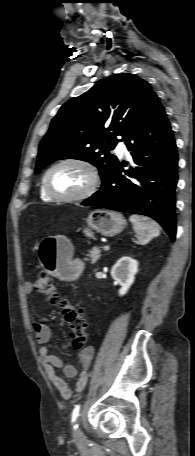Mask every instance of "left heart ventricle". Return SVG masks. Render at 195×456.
Wrapping results in <instances>:
<instances>
[{
  "label": "left heart ventricle",
  "mask_w": 195,
  "mask_h": 456,
  "mask_svg": "<svg viewBox=\"0 0 195 456\" xmlns=\"http://www.w3.org/2000/svg\"><path fill=\"white\" fill-rule=\"evenodd\" d=\"M49 186L53 192L63 196L83 192L90 182L88 171L76 164H65L55 168L49 175Z\"/></svg>",
  "instance_id": "obj_1"
}]
</instances>
